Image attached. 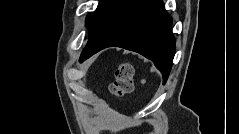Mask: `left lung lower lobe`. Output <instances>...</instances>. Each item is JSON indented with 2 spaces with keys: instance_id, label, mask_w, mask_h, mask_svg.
Masks as SVG:
<instances>
[{
  "instance_id": "1",
  "label": "left lung lower lobe",
  "mask_w": 239,
  "mask_h": 134,
  "mask_svg": "<svg viewBox=\"0 0 239 134\" xmlns=\"http://www.w3.org/2000/svg\"><path fill=\"white\" fill-rule=\"evenodd\" d=\"M171 25L162 0H124L102 30L88 40L80 58L85 60L107 47H122L152 60L166 82L175 53Z\"/></svg>"
}]
</instances>
